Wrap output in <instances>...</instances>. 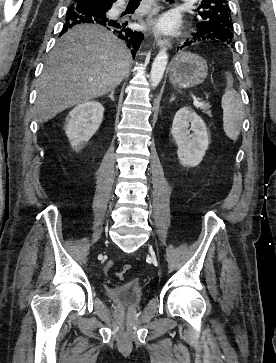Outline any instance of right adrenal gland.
I'll return each instance as SVG.
<instances>
[{
    "mask_svg": "<svg viewBox=\"0 0 276 363\" xmlns=\"http://www.w3.org/2000/svg\"><path fill=\"white\" fill-rule=\"evenodd\" d=\"M114 92H115V90H112L111 91V93L108 95L109 96V98L112 100V101H114L115 99H114Z\"/></svg>",
    "mask_w": 276,
    "mask_h": 363,
    "instance_id": "right-adrenal-gland-1",
    "label": "right adrenal gland"
}]
</instances>
